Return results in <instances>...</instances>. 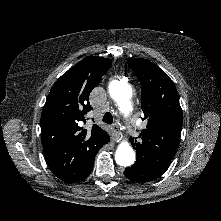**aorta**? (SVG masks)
Wrapping results in <instances>:
<instances>
[{"mask_svg": "<svg viewBox=\"0 0 221 221\" xmlns=\"http://www.w3.org/2000/svg\"><path fill=\"white\" fill-rule=\"evenodd\" d=\"M109 94L116 101L120 110L127 111L132 97L131 86L123 80H113L109 84ZM135 152L128 142H122L115 154L116 163L120 166H131L135 161Z\"/></svg>", "mask_w": 221, "mask_h": 221, "instance_id": "aorta-1", "label": "aorta"}]
</instances>
